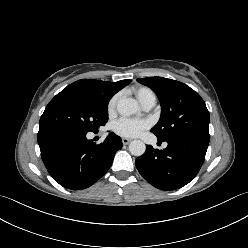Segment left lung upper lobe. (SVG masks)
Segmentation results:
<instances>
[{"label":"left lung upper lobe","instance_id":"1","mask_svg":"<svg viewBox=\"0 0 248 248\" xmlns=\"http://www.w3.org/2000/svg\"><path fill=\"white\" fill-rule=\"evenodd\" d=\"M150 87L161 104V117L151 131L161 141L193 134L209 135V112L200 95L176 80L163 77L138 78Z\"/></svg>","mask_w":248,"mask_h":248}]
</instances>
